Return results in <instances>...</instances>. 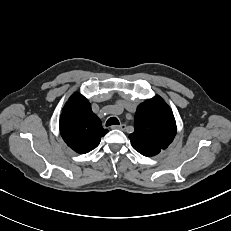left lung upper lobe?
Segmentation results:
<instances>
[{
	"label": "left lung upper lobe",
	"instance_id": "left-lung-upper-lobe-1",
	"mask_svg": "<svg viewBox=\"0 0 231 231\" xmlns=\"http://www.w3.org/2000/svg\"><path fill=\"white\" fill-rule=\"evenodd\" d=\"M176 134L172 110L160 97L141 103L134 118V132L129 135L133 148L144 156H154L166 149Z\"/></svg>",
	"mask_w": 231,
	"mask_h": 231
}]
</instances>
